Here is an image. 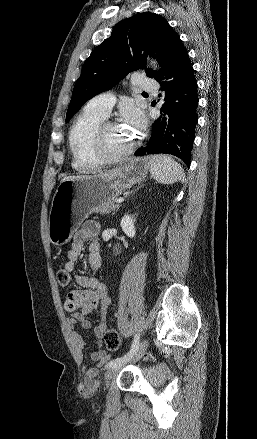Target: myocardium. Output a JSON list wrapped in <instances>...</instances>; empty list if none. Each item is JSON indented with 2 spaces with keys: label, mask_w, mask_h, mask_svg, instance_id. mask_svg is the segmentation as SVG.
Returning a JSON list of instances; mask_svg holds the SVG:
<instances>
[{
  "label": "myocardium",
  "mask_w": 257,
  "mask_h": 439,
  "mask_svg": "<svg viewBox=\"0 0 257 439\" xmlns=\"http://www.w3.org/2000/svg\"><path fill=\"white\" fill-rule=\"evenodd\" d=\"M117 125L116 122H102L95 133L94 136V148L95 152L100 160V162H116L125 159L127 156L131 154L133 149L136 146V143L130 144L128 147L123 149L122 151L111 154L105 147V139H104V131L108 126Z\"/></svg>",
  "instance_id": "1"
}]
</instances>
